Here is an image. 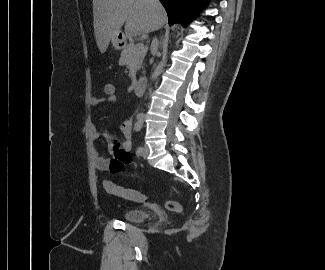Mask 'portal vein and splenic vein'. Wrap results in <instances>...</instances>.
Instances as JSON below:
<instances>
[{"mask_svg": "<svg viewBox=\"0 0 325 270\" xmlns=\"http://www.w3.org/2000/svg\"><path fill=\"white\" fill-rule=\"evenodd\" d=\"M138 47H139L140 49H144V48H145L144 45H143L142 43H139V44H138Z\"/></svg>", "mask_w": 325, "mask_h": 270, "instance_id": "obj_1", "label": "portal vein and splenic vein"}]
</instances>
